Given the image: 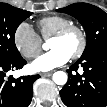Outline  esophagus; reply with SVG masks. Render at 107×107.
Here are the masks:
<instances>
[{
  "instance_id": "1",
  "label": "esophagus",
  "mask_w": 107,
  "mask_h": 107,
  "mask_svg": "<svg viewBox=\"0 0 107 107\" xmlns=\"http://www.w3.org/2000/svg\"><path fill=\"white\" fill-rule=\"evenodd\" d=\"M53 74V72L51 71V72H43V73H41L40 75L42 76V77H49V76H51Z\"/></svg>"
}]
</instances>
